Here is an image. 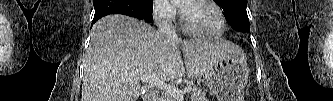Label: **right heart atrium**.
Wrapping results in <instances>:
<instances>
[{"label": "right heart atrium", "instance_id": "1", "mask_svg": "<svg viewBox=\"0 0 333 101\" xmlns=\"http://www.w3.org/2000/svg\"><path fill=\"white\" fill-rule=\"evenodd\" d=\"M152 14L159 25H168L175 20L177 10L169 0H155Z\"/></svg>", "mask_w": 333, "mask_h": 101}]
</instances>
